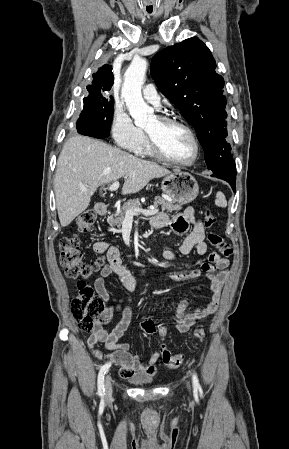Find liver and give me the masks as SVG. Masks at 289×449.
Segmentation results:
<instances>
[{"instance_id": "obj_1", "label": "liver", "mask_w": 289, "mask_h": 449, "mask_svg": "<svg viewBox=\"0 0 289 449\" xmlns=\"http://www.w3.org/2000/svg\"><path fill=\"white\" fill-rule=\"evenodd\" d=\"M170 174L157 163L137 158L119 148L84 136L67 140L59 155L54 178L60 224L68 226L87 209L98 187L124 177L121 194L142 190L153 178ZM86 187L87 191H82Z\"/></svg>"}]
</instances>
